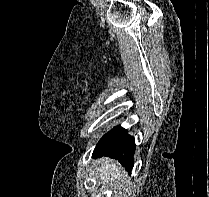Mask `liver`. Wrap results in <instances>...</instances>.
<instances>
[{
	"label": "liver",
	"instance_id": "obj_1",
	"mask_svg": "<svg viewBox=\"0 0 209 197\" xmlns=\"http://www.w3.org/2000/svg\"><path fill=\"white\" fill-rule=\"evenodd\" d=\"M97 179L102 183H115L117 180H121L123 177V169L119 166V164L108 158H102L100 160V164L97 168Z\"/></svg>",
	"mask_w": 209,
	"mask_h": 197
}]
</instances>
